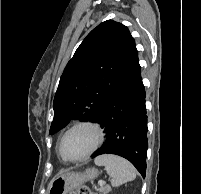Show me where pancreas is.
Segmentation results:
<instances>
[{"label":"pancreas","mask_w":201,"mask_h":194,"mask_svg":"<svg viewBox=\"0 0 201 194\" xmlns=\"http://www.w3.org/2000/svg\"><path fill=\"white\" fill-rule=\"evenodd\" d=\"M110 187L109 186H105L99 189L100 194H107L110 191Z\"/></svg>","instance_id":"cf45deb5"}]
</instances>
